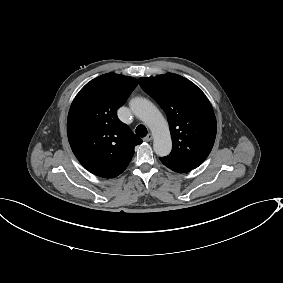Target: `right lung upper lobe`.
Returning a JSON list of instances; mask_svg holds the SVG:
<instances>
[{"mask_svg":"<svg viewBox=\"0 0 283 283\" xmlns=\"http://www.w3.org/2000/svg\"><path fill=\"white\" fill-rule=\"evenodd\" d=\"M138 85L137 79L108 73L87 83L72 102L67 134L73 153L91 173L113 178L121 174L142 143L117 117Z\"/></svg>","mask_w":283,"mask_h":283,"instance_id":"cb5924a9","label":"right lung upper lobe"}]
</instances>
